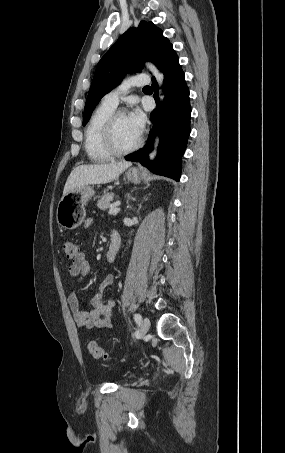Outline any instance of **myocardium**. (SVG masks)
I'll list each match as a JSON object with an SVG mask.
<instances>
[{
    "label": "myocardium",
    "instance_id": "f54148a6",
    "mask_svg": "<svg viewBox=\"0 0 285 453\" xmlns=\"http://www.w3.org/2000/svg\"><path fill=\"white\" fill-rule=\"evenodd\" d=\"M122 115H127L125 110L118 109L114 110L109 117L107 118L104 128H103V144L107 151L112 155V156H123L127 155L129 153H132L139 149L142 144H143V134L141 133L139 139L135 144H133L130 147L127 148H120L117 145L116 138H115V125L117 122V119L122 116Z\"/></svg>",
    "mask_w": 285,
    "mask_h": 453
}]
</instances>
